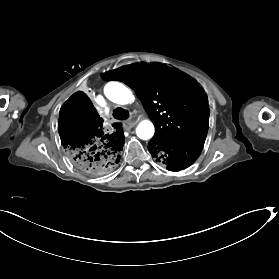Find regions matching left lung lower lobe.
Instances as JSON below:
<instances>
[{
    "label": "left lung lower lobe",
    "instance_id": "0a47b994",
    "mask_svg": "<svg viewBox=\"0 0 279 279\" xmlns=\"http://www.w3.org/2000/svg\"><path fill=\"white\" fill-rule=\"evenodd\" d=\"M202 148L197 145H176L152 140L148 143L152 157L166 165L170 171H180L189 167L196 161Z\"/></svg>",
    "mask_w": 279,
    "mask_h": 279
}]
</instances>
